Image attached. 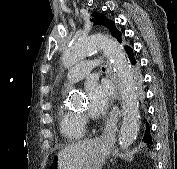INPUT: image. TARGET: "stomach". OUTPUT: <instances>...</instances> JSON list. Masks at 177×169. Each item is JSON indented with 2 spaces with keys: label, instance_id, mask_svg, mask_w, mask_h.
<instances>
[{
  "label": "stomach",
  "instance_id": "1",
  "mask_svg": "<svg viewBox=\"0 0 177 169\" xmlns=\"http://www.w3.org/2000/svg\"><path fill=\"white\" fill-rule=\"evenodd\" d=\"M112 145L109 142H99L92 150L82 169H102L110 152ZM53 163L50 169H56ZM58 169V168H57Z\"/></svg>",
  "mask_w": 177,
  "mask_h": 169
}]
</instances>
